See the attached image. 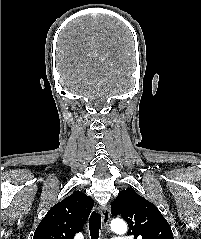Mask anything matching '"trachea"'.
<instances>
[{"label": "trachea", "mask_w": 201, "mask_h": 239, "mask_svg": "<svg viewBox=\"0 0 201 239\" xmlns=\"http://www.w3.org/2000/svg\"><path fill=\"white\" fill-rule=\"evenodd\" d=\"M101 229V215L93 211L89 219V230L91 239H98Z\"/></svg>", "instance_id": "trachea-1"}]
</instances>
